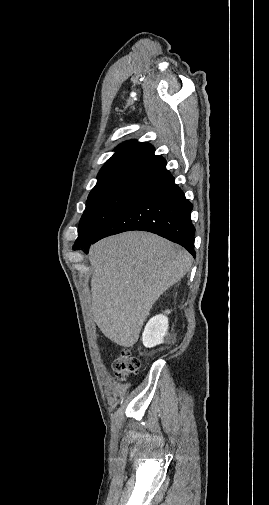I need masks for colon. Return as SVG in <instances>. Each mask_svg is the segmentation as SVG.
Returning <instances> with one entry per match:
<instances>
[{
  "mask_svg": "<svg viewBox=\"0 0 269 505\" xmlns=\"http://www.w3.org/2000/svg\"><path fill=\"white\" fill-rule=\"evenodd\" d=\"M139 368V359L131 356L127 350H123L112 362L114 375L120 380H124L128 376L137 373Z\"/></svg>",
  "mask_w": 269,
  "mask_h": 505,
  "instance_id": "1",
  "label": "colon"
}]
</instances>
